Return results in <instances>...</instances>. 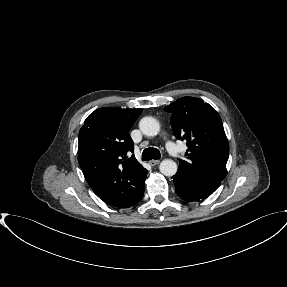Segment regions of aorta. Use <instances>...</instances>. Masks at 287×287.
I'll return each instance as SVG.
<instances>
[{"mask_svg":"<svg viewBox=\"0 0 287 287\" xmlns=\"http://www.w3.org/2000/svg\"><path fill=\"white\" fill-rule=\"evenodd\" d=\"M139 128L141 132L146 136H156L160 131L159 122L150 116L143 117L139 122ZM160 172L165 176H173L177 172V164L175 161L165 159L160 163Z\"/></svg>","mask_w":287,"mask_h":287,"instance_id":"obj_1","label":"aorta"}]
</instances>
